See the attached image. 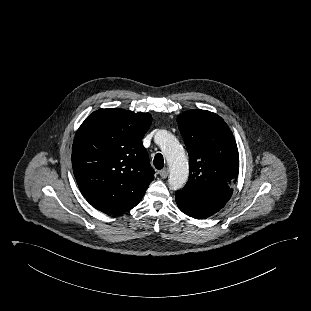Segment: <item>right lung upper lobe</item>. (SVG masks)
Returning <instances> with one entry per match:
<instances>
[{"label": "right lung upper lobe", "mask_w": 311, "mask_h": 311, "mask_svg": "<svg viewBox=\"0 0 311 311\" xmlns=\"http://www.w3.org/2000/svg\"><path fill=\"white\" fill-rule=\"evenodd\" d=\"M151 115L99 109L79 127L72 167L80 191L99 211L122 214L135 207L154 178L142 138Z\"/></svg>", "instance_id": "right-lung-upper-lobe-1"}]
</instances>
